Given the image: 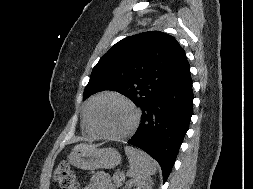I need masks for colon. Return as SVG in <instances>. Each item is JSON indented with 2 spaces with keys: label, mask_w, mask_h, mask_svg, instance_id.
<instances>
[{
  "label": "colon",
  "mask_w": 253,
  "mask_h": 189,
  "mask_svg": "<svg viewBox=\"0 0 253 189\" xmlns=\"http://www.w3.org/2000/svg\"><path fill=\"white\" fill-rule=\"evenodd\" d=\"M53 180L60 187V189L78 188L73 171L65 163H61L55 168Z\"/></svg>",
  "instance_id": "colon-1"
}]
</instances>
